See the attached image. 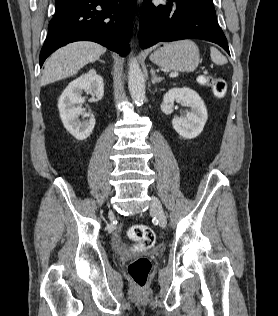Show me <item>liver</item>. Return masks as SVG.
I'll return each instance as SVG.
<instances>
[{"mask_svg": "<svg viewBox=\"0 0 278 316\" xmlns=\"http://www.w3.org/2000/svg\"><path fill=\"white\" fill-rule=\"evenodd\" d=\"M106 52L101 45L90 41H79L58 49L46 61L41 79L47 85L75 75L88 63L94 62Z\"/></svg>", "mask_w": 278, "mask_h": 316, "instance_id": "1", "label": "liver"}]
</instances>
